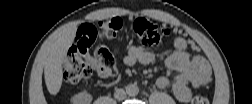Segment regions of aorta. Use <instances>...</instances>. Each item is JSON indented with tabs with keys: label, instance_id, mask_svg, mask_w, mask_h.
<instances>
[{
	"label": "aorta",
	"instance_id": "obj_1",
	"mask_svg": "<svg viewBox=\"0 0 252 104\" xmlns=\"http://www.w3.org/2000/svg\"><path fill=\"white\" fill-rule=\"evenodd\" d=\"M126 93L128 96H137L139 93V87L136 84H129L126 86Z\"/></svg>",
	"mask_w": 252,
	"mask_h": 104
}]
</instances>
